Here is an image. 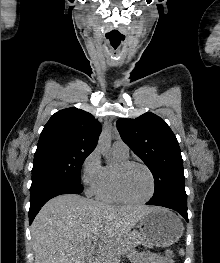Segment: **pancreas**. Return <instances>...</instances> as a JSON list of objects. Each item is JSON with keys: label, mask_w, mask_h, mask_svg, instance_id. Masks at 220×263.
<instances>
[{"label": "pancreas", "mask_w": 220, "mask_h": 263, "mask_svg": "<svg viewBox=\"0 0 220 263\" xmlns=\"http://www.w3.org/2000/svg\"><path fill=\"white\" fill-rule=\"evenodd\" d=\"M142 244L141 236L138 232L133 231L126 235L122 244L118 245L117 251L110 249L107 253L108 257H112L117 253H125L128 250L134 248L136 245Z\"/></svg>", "instance_id": "1"}]
</instances>
